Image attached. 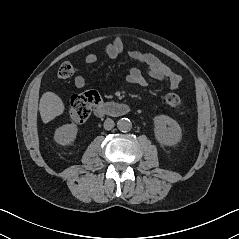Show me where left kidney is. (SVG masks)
Listing matches in <instances>:
<instances>
[{
	"instance_id": "obj_1",
	"label": "left kidney",
	"mask_w": 239,
	"mask_h": 239,
	"mask_svg": "<svg viewBox=\"0 0 239 239\" xmlns=\"http://www.w3.org/2000/svg\"><path fill=\"white\" fill-rule=\"evenodd\" d=\"M154 133L156 140L165 146H175L182 139L180 125L167 115H159L154 118Z\"/></svg>"
}]
</instances>
